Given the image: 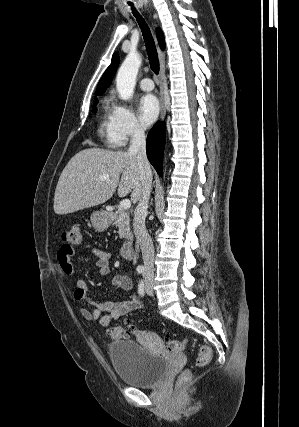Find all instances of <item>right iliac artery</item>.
Listing matches in <instances>:
<instances>
[{
  "label": "right iliac artery",
  "instance_id": "right-iliac-artery-1",
  "mask_svg": "<svg viewBox=\"0 0 299 427\" xmlns=\"http://www.w3.org/2000/svg\"><path fill=\"white\" fill-rule=\"evenodd\" d=\"M136 270H137V272H138L139 274H141V273H143V272H144V267H142V266H138Z\"/></svg>",
  "mask_w": 299,
  "mask_h": 427
}]
</instances>
